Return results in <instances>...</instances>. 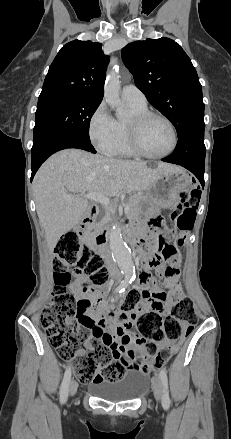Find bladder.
Listing matches in <instances>:
<instances>
[{
	"label": "bladder",
	"mask_w": 231,
	"mask_h": 439,
	"mask_svg": "<svg viewBox=\"0 0 231 439\" xmlns=\"http://www.w3.org/2000/svg\"><path fill=\"white\" fill-rule=\"evenodd\" d=\"M149 382L146 372L131 368L126 370L120 380L94 384L90 389L99 398L121 402L138 398L147 389Z\"/></svg>",
	"instance_id": "1"
}]
</instances>
